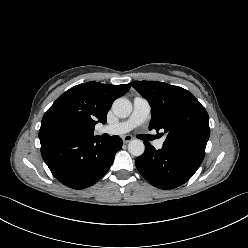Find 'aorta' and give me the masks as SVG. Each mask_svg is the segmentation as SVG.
Returning a JSON list of instances; mask_svg holds the SVG:
<instances>
[{
	"label": "aorta",
	"instance_id": "762f6f07",
	"mask_svg": "<svg viewBox=\"0 0 248 248\" xmlns=\"http://www.w3.org/2000/svg\"><path fill=\"white\" fill-rule=\"evenodd\" d=\"M112 109L119 118H126L132 112V104L127 98L120 97L113 102ZM144 150L145 146L141 140L134 139L128 144V151L133 156H141Z\"/></svg>",
	"mask_w": 248,
	"mask_h": 248
}]
</instances>
